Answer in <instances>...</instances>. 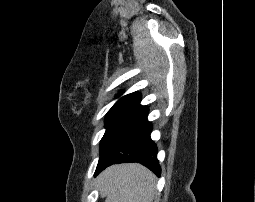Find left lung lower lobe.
Returning <instances> with one entry per match:
<instances>
[{
  "instance_id": "1",
  "label": "left lung lower lobe",
  "mask_w": 255,
  "mask_h": 202,
  "mask_svg": "<svg viewBox=\"0 0 255 202\" xmlns=\"http://www.w3.org/2000/svg\"><path fill=\"white\" fill-rule=\"evenodd\" d=\"M152 124L145 123L126 141L120 152L109 161H99L95 175L106 167L127 162H138L148 167L158 177L161 174V169L157 160V147L150 138Z\"/></svg>"
}]
</instances>
